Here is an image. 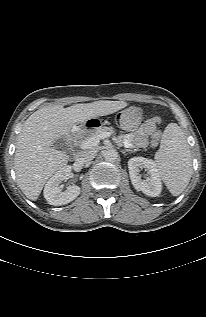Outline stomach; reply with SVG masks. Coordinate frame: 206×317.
I'll list each match as a JSON object with an SVG mask.
<instances>
[{
	"mask_svg": "<svg viewBox=\"0 0 206 317\" xmlns=\"http://www.w3.org/2000/svg\"><path fill=\"white\" fill-rule=\"evenodd\" d=\"M114 119L109 114H98V115H89L84 118L78 125V130L81 133L82 131H89L93 128L97 129L100 126H113Z\"/></svg>",
	"mask_w": 206,
	"mask_h": 317,
	"instance_id": "1",
	"label": "stomach"
}]
</instances>
